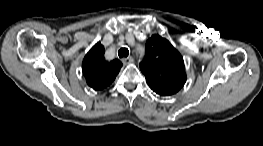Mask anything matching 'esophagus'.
Listing matches in <instances>:
<instances>
[{
    "mask_svg": "<svg viewBox=\"0 0 263 146\" xmlns=\"http://www.w3.org/2000/svg\"><path fill=\"white\" fill-rule=\"evenodd\" d=\"M122 62H123L124 64H130V63H133V62H134V58H133V57L123 58V59H122Z\"/></svg>",
    "mask_w": 263,
    "mask_h": 146,
    "instance_id": "esophagus-1",
    "label": "esophagus"
}]
</instances>
